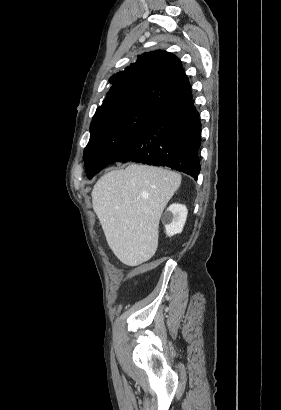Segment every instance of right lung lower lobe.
I'll return each mask as SVG.
<instances>
[{
    "mask_svg": "<svg viewBox=\"0 0 281 410\" xmlns=\"http://www.w3.org/2000/svg\"><path fill=\"white\" fill-rule=\"evenodd\" d=\"M201 121L191 94L165 107L113 162L166 166L197 180Z\"/></svg>",
    "mask_w": 281,
    "mask_h": 410,
    "instance_id": "98d812e1",
    "label": "right lung lower lobe"
}]
</instances>
